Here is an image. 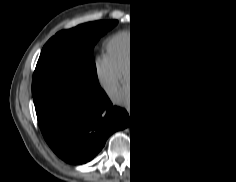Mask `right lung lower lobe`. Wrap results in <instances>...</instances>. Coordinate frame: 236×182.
I'll return each instance as SVG.
<instances>
[{"mask_svg":"<svg viewBox=\"0 0 236 182\" xmlns=\"http://www.w3.org/2000/svg\"><path fill=\"white\" fill-rule=\"evenodd\" d=\"M101 94L96 101L80 88L63 86L34 96L42 135L65 162L90 161L114 131L130 124L127 111L113 107L102 90Z\"/></svg>","mask_w":236,"mask_h":182,"instance_id":"98d812e1","label":"right lung lower lobe"}]
</instances>
